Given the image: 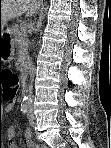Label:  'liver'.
Wrapping results in <instances>:
<instances>
[{
    "instance_id": "1",
    "label": "liver",
    "mask_w": 111,
    "mask_h": 148,
    "mask_svg": "<svg viewBox=\"0 0 111 148\" xmlns=\"http://www.w3.org/2000/svg\"><path fill=\"white\" fill-rule=\"evenodd\" d=\"M42 0H1L0 24L2 28L10 19L21 16L24 13L32 15L40 6Z\"/></svg>"
}]
</instances>
